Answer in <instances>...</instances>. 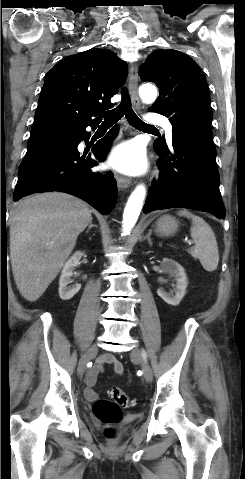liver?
Wrapping results in <instances>:
<instances>
[{"label":"liver","mask_w":245,"mask_h":479,"mask_svg":"<svg viewBox=\"0 0 245 479\" xmlns=\"http://www.w3.org/2000/svg\"><path fill=\"white\" fill-rule=\"evenodd\" d=\"M91 221L88 205L65 193L36 194L15 205L10 259L16 286L26 300L42 296Z\"/></svg>","instance_id":"obj_1"}]
</instances>
